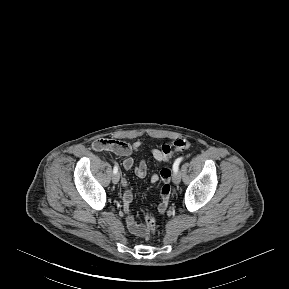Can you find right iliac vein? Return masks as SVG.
<instances>
[{"instance_id": "right-iliac-vein-1", "label": "right iliac vein", "mask_w": 289, "mask_h": 289, "mask_svg": "<svg viewBox=\"0 0 289 289\" xmlns=\"http://www.w3.org/2000/svg\"><path fill=\"white\" fill-rule=\"evenodd\" d=\"M119 179H120V175H119L118 173L113 174V176H112V182H113L114 184H117V183L119 182Z\"/></svg>"}]
</instances>
